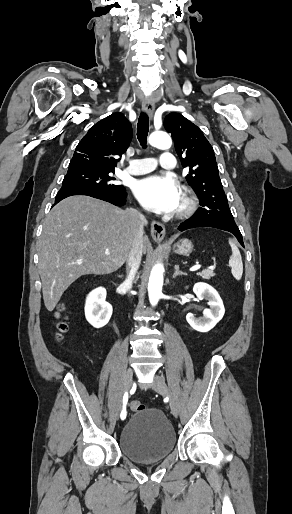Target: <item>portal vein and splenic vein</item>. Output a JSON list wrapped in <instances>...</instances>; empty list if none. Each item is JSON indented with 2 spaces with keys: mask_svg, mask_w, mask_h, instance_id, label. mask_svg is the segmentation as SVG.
I'll return each mask as SVG.
<instances>
[{
  "mask_svg": "<svg viewBox=\"0 0 292 514\" xmlns=\"http://www.w3.org/2000/svg\"><path fill=\"white\" fill-rule=\"evenodd\" d=\"M105 254H110L109 250H106ZM200 266H193V268H190V270H199Z\"/></svg>",
  "mask_w": 292,
  "mask_h": 514,
  "instance_id": "obj_1",
  "label": "portal vein and splenic vein"
}]
</instances>
